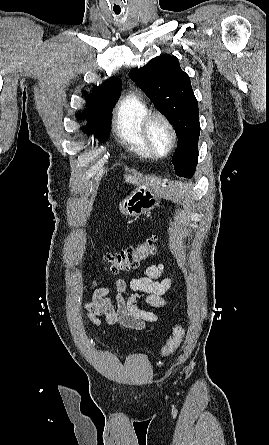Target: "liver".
I'll return each mask as SVG.
<instances>
[{
	"label": "liver",
	"mask_w": 269,
	"mask_h": 445,
	"mask_svg": "<svg viewBox=\"0 0 269 445\" xmlns=\"http://www.w3.org/2000/svg\"><path fill=\"white\" fill-rule=\"evenodd\" d=\"M142 175L139 173H134V175H125V181L131 183L132 185H139L142 182Z\"/></svg>",
	"instance_id": "6515ba94"
}]
</instances>
